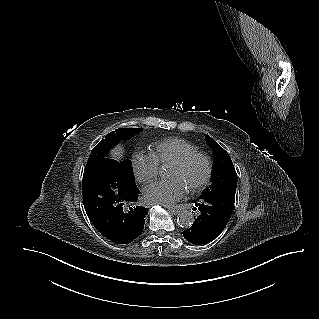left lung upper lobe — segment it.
I'll return each mask as SVG.
<instances>
[{
	"instance_id": "obj_1",
	"label": "left lung upper lobe",
	"mask_w": 319,
	"mask_h": 319,
	"mask_svg": "<svg viewBox=\"0 0 319 319\" xmlns=\"http://www.w3.org/2000/svg\"><path fill=\"white\" fill-rule=\"evenodd\" d=\"M205 137L208 145L213 151L214 162L211 176V185L202 192L200 197L208 196L229 189H236L237 173L230 156L210 136L205 134Z\"/></svg>"
}]
</instances>
